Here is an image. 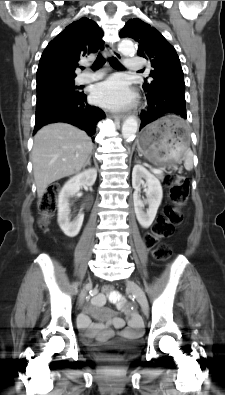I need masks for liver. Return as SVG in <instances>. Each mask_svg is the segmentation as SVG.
Returning a JSON list of instances; mask_svg holds the SVG:
<instances>
[{
    "label": "liver",
    "instance_id": "1",
    "mask_svg": "<svg viewBox=\"0 0 225 395\" xmlns=\"http://www.w3.org/2000/svg\"><path fill=\"white\" fill-rule=\"evenodd\" d=\"M92 149L87 133L71 124L59 122L41 128L34 137L31 154L38 197L51 183L85 167Z\"/></svg>",
    "mask_w": 225,
    "mask_h": 395
}]
</instances>
